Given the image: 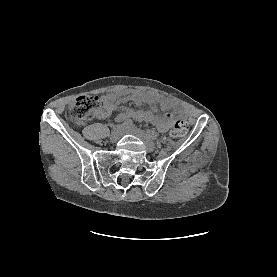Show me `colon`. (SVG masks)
Masks as SVG:
<instances>
[{"label": "colon", "instance_id": "1", "mask_svg": "<svg viewBox=\"0 0 277 277\" xmlns=\"http://www.w3.org/2000/svg\"><path fill=\"white\" fill-rule=\"evenodd\" d=\"M102 109L99 100L93 96H80L69 106L67 117L73 122H83L100 117ZM189 124L185 119H179L172 128V136L183 137L187 134Z\"/></svg>", "mask_w": 277, "mask_h": 277}]
</instances>
